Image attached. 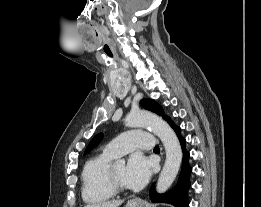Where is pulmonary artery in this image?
Returning <instances> with one entry per match:
<instances>
[{"instance_id":"e3ab8cb5","label":"pulmonary artery","mask_w":261,"mask_h":207,"mask_svg":"<svg viewBox=\"0 0 261 207\" xmlns=\"http://www.w3.org/2000/svg\"><path fill=\"white\" fill-rule=\"evenodd\" d=\"M153 147L154 139L150 133L141 130H129L109 142L105 151L114 157H119L136 149L150 150Z\"/></svg>"}]
</instances>
